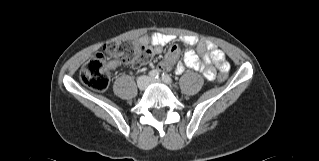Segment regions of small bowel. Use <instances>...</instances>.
Returning a JSON list of instances; mask_svg holds the SVG:
<instances>
[{
	"instance_id": "obj_1",
	"label": "small bowel",
	"mask_w": 319,
	"mask_h": 161,
	"mask_svg": "<svg viewBox=\"0 0 319 161\" xmlns=\"http://www.w3.org/2000/svg\"><path fill=\"white\" fill-rule=\"evenodd\" d=\"M173 40L172 36L163 33H153L147 37L140 39V42L149 48L152 56L162 53L163 46ZM185 45L183 61L176 65V73L181 74L185 70V66L194 70L202 71L203 76L213 81L216 78V70L211 65L214 64L223 72H228L230 65L225 58V54L222 50L216 48L213 44L205 41H200L196 50L192 46L196 45L198 40L194 36H183L181 38ZM198 54H202V61H200ZM177 53L174 50H170L166 59L159 64L162 69H169L172 62L176 59ZM113 67L116 64H112Z\"/></svg>"
}]
</instances>
